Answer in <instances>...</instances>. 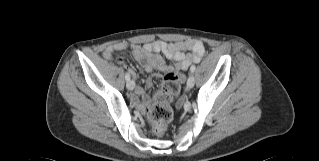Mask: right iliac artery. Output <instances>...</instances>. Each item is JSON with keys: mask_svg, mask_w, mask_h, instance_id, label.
<instances>
[{"mask_svg": "<svg viewBox=\"0 0 319 161\" xmlns=\"http://www.w3.org/2000/svg\"><path fill=\"white\" fill-rule=\"evenodd\" d=\"M125 79H126L127 81H129V80H130V75H129V73H126V75H125Z\"/></svg>", "mask_w": 319, "mask_h": 161, "instance_id": "obj_1", "label": "right iliac artery"}]
</instances>
